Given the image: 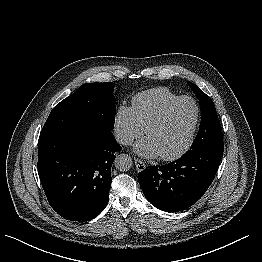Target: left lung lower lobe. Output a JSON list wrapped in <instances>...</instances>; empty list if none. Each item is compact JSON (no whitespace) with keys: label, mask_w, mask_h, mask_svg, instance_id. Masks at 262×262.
<instances>
[{"label":"left lung lower lobe","mask_w":262,"mask_h":262,"mask_svg":"<svg viewBox=\"0 0 262 262\" xmlns=\"http://www.w3.org/2000/svg\"><path fill=\"white\" fill-rule=\"evenodd\" d=\"M223 146L187 151L162 166H149L138 174L147 200L165 212L191 207L213 182L223 156Z\"/></svg>","instance_id":"1"}]
</instances>
